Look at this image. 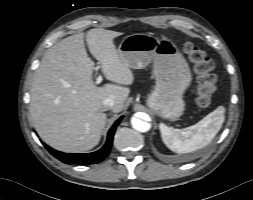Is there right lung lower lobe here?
I'll list each match as a JSON object with an SVG mask.
<instances>
[{
	"mask_svg": "<svg viewBox=\"0 0 253 200\" xmlns=\"http://www.w3.org/2000/svg\"><path fill=\"white\" fill-rule=\"evenodd\" d=\"M122 117L118 119L114 125L111 127V129L108 132L107 136V141L105 145L98 151L92 152V153H75V154H67V153H62L58 152L56 150H53L49 146L45 145L46 149L57 159L60 161L66 163V164H95L100 161H102L110 152L112 141H113V136L115 133V129L120 123Z\"/></svg>",
	"mask_w": 253,
	"mask_h": 200,
	"instance_id": "1",
	"label": "right lung lower lobe"
}]
</instances>
